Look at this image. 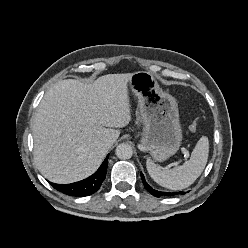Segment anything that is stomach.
<instances>
[{
  "mask_svg": "<svg viewBox=\"0 0 248 248\" xmlns=\"http://www.w3.org/2000/svg\"><path fill=\"white\" fill-rule=\"evenodd\" d=\"M128 85L138 99L144 124L140 142L155 161L163 162L178 151L182 142L177 101L146 71L133 73Z\"/></svg>",
  "mask_w": 248,
  "mask_h": 248,
  "instance_id": "1",
  "label": "stomach"
}]
</instances>
